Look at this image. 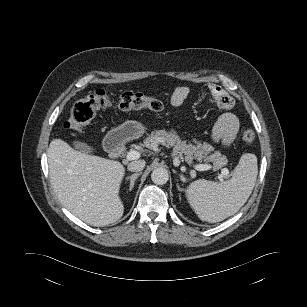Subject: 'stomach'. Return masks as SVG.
Listing matches in <instances>:
<instances>
[{"instance_id": "1", "label": "stomach", "mask_w": 307, "mask_h": 307, "mask_svg": "<svg viewBox=\"0 0 307 307\" xmlns=\"http://www.w3.org/2000/svg\"><path fill=\"white\" fill-rule=\"evenodd\" d=\"M146 131V127L135 120H128L110 131V135L116 136L120 141H129L141 137Z\"/></svg>"}]
</instances>
